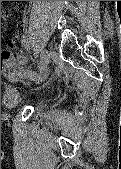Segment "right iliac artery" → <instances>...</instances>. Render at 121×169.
I'll list each match as a JSON object with an SVG mask.
<instances>
[{"instance_id": "1", "label": "right iliac artery", "mask_w": 121, "mask_h": 169, "mask_svg": "<svg viewBox=\"0 0 121 169\" xmlns=\"http://www.w3.org/2000/svg\"><path fill=\"white\" fill-rule=\"evenodd\" d=\"M23 42H25L26 46H28V44H27L28 42H26L25 40H23ZM28 78L34 80L37 78V74L31 71L30 73H28Z\"/></svg>"}]
</instances>
